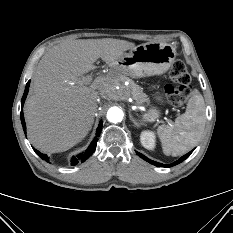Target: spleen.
Masks as SVG:
<instances>
[{
    "label": "spleen",
    "mask_w": 233,
    "mask_h": 233,
    "mask_svg": "<svg viewBox=\"0 0 233 233\" xmlns=\"http://www.w3.org/2000/svg\"><path fill=\"white\" fill-rule=\"evenodd\" d=\"M206 123L205 103L197 91L188 101L184 114L171 125L157 129L165 155L179 156L191 150L199 141Z\"/></svg>",
    "instance_id": "spleen-1"
}]
</instances>
